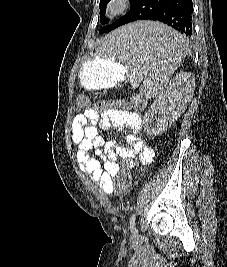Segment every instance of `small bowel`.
<instances>
[{"label":"small bowel","mask_w":227,"mask_h":267,"mask_svg":"<svg viewBox=\"0 0 227 267\" xmlns=\"http://www.w3.org/2000/svg\"><path fill=\"white\" fill-rule=\"evenodd\" d=\"M111 128L130 131L125 136V144L105 142L99 135L100 129ZM141 129L140 115L130 110L125 112V109H107L102 113L88 109L73 119L71 132L72 141L77 146V163L82 172L105 193L113 192V173H119V169L131 171L137 166L152 163L154 149L138 136ZM91 151L100 160L92 157Z\"/></svg>","instance_id":"small-bowel-1"}]
</instances>
